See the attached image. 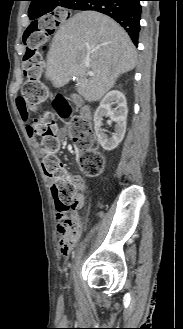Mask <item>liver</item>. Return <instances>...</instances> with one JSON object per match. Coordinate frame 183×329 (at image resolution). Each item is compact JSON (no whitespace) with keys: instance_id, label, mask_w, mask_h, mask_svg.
I'll list each match as a JSON object with an SVG mask.
<instances>
[{"instance_id":"obj_1","label":"liver","mask_w":183,"mask_h":329,"mask_svg":"<svg viewBox=\"0 0 183 329\" xmlns=\"http://www.w3.org/2000/svg\"><path fill=\"white\" fill-rule=\"evenodd\" d=\"M136 57L135 46L118 23L101 13L83 11L55 33L45 77L57 88L76 77L79 94L88 102L99 101L121 74L135 67Z\"/></svg>"}]
</instances>
